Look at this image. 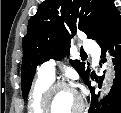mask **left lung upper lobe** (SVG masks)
Wrapping results in <instances>:
<instances>
[{"mask_svg": "<svg viewBox=\"0 0 121 113\" xmlns=\"http://www.w3.org/2000/svg\"><path fill=\"white\" fill-rule=\"evenodd\" d=\"M119 11L114 0H45L29 19L23 38L22 94L27 98L36 67L69 55V45L77 30L99 44L111 32ZM70 63L86 83L90 69L80 60Z\"/></svg>", "mask_w": 121, "mask_h": 113, "instance_id": "1", "label": "left lung upper lobe"}]
</instances>
